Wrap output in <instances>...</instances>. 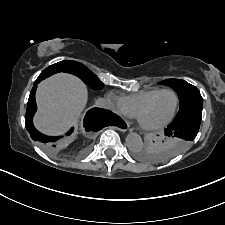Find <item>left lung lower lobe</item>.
I'll use <instances>...</instances> for the list:
<instances>
[{
  "label": "left lung lower lobe",
  "mask_w": 225,
  "mask_h": 225,
  "mask_svg": "<svg viewBox=\"0 0 225 225\" xmlns=\"http://www.w3.org/2000/svg\"><path fill=\"white\" fill-rule=\"evenodd\" d=\"M202 118V110H192L176 116L173 122L165 129L168 137H179L186 141H193L198 133ZM185 144H176L174 149L177 153L184 150Z\"/></svg>",
  "instance_id": "1"
}]
</instances>
